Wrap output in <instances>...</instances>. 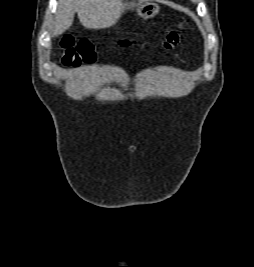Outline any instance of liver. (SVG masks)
Returning <instances> with one entry per match:
<instances>
[{
    "instance_id": "obj_1",
    "label": "liver",
    "mask_w": 254,
    "mask_h": 267,
    "mask_svg": "<svg viewBox=\"0 0 254 267\" xmlns=\"http://www.w3.org/2000/svg\"><path fill=\"white\" fill-rule=\"evenodd\" d=\"M146 0H139L143 3ZM134 2L123 0H59L55 16L53 36L68 30L77 12L80 23L87 29H105L115 24L126 9H132Z\"/></svg>"
}]
</instances>
